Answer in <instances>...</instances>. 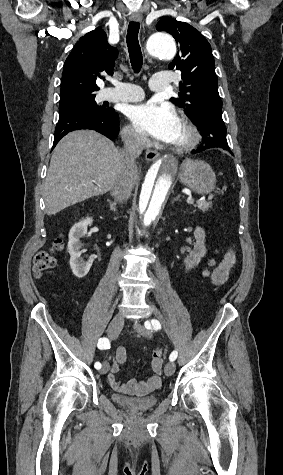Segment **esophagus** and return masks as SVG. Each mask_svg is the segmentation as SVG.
Here are the masks:
<instances>
[{
    "label": "esophagus",
    "instance_id": "34e87169",
    "mask_svg": "<svg viewBox=\"0 0 283 475\" xmlns=\"http://www.w3.org/2000/svg\"><path fill=\"white\" fill-rule=\"evenodd\" d=\"M129 19L132 22H142V14L140 12H134L130 15ZM145 158L147 162H153L154 160H157V158H159V152L156 150H147ZM167 159L171 163L177 162V160L173 156H168Z\"/></svg>",
    "mask_w": 283,
    "mask_h": 475
}]
</instances>
